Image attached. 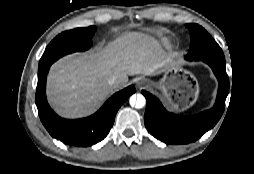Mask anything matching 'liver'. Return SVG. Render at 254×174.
<instances>
[{"instance_id":"6515ba94","label":"liver","mask_w":254,"mask_h":174,"mask_svg":"<svg viewBox=\"0 0 254 174\" xmlns=\"http://www.w3.org/2000/svg\"><path fill=\"white\" fill-rule=\"evenodd\" d=\"M159 42L141 32H124L104 49L65 56L51 66L47 97L53 109L65 118L94 112L113 89L122 88L129 75H152L168 65ZM115 76L117 87L108 80Z\"/></svg>"}]
</instances>
